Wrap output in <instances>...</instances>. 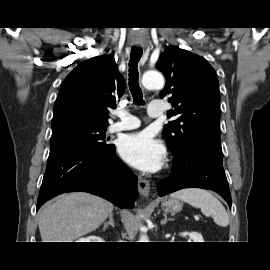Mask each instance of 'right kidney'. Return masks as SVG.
Here are the masks:
<instances>
[{"mask_svg": "<svg viewBox=\"0 0 270 270\" xmlns=\"http://www.w3.org/2000/svg\"><path fill=\"white\" fill-rule=\"evenodd\" d=\"M76 242H103V240L98 236L92 235L85 238H81L77 240Z\"/></svg>", "mask_w": 270, "mask_h": 270, "instance_id": "1", "label": "right kidney"}]
</instances>
